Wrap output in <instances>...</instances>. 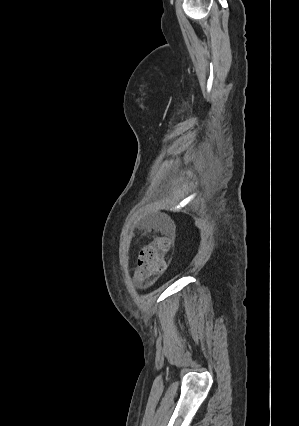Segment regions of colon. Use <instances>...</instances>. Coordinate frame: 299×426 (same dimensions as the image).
<instances>
[{
	"instance_id": "1",
	"label": "colon",
	"mask_w": 299,
	"mask_h": 426,
	"mask_svg": "<svg viewBox=\"0 0 299 426\" xmlns=\"http://www.w3.org/2000/svg\"><path fill=\"white\" fill-rule=\"evenodd\" d=\"M171 247V241L162 237L156 244L145 247L139 256L136 277L142 287L151 285L164 267V257Z\"/></svg>"
}]
</instances>
